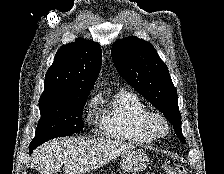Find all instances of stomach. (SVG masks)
Masks as SVG:
<instances>
[{
  "mask_svg": "<svg viewBox=\"0 0 224 174\" xmlns=\"http://www.w3.org/2000/svg\"><path fill=\"white\" fill-rule=\"evenodd\" d=\"M148 162L149 158L144 151L130 150L123 155L120 166L124 172H137L143 170Z\"/></svg>",
  "mask_w": 224,
  "mask_h": 174,
  "instance_id": "1",
  "label": "stomach"
}]
</instances>
